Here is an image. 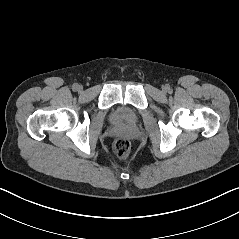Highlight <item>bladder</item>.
Listing matches in <instances>:
<instances>
[{
	"mask_svg": "<svg viewBox=\"0 0 239 239\" xmlns=\"http://www.w3.org/2000/svg\"><path fill=\"white\" fill-rule=\"evenodd\" d=\"M111 120L120 125L134 126L139 120V114L128 106H118L111 113Z\"/></svg>",
	"mask_w": 239,
	"mask_h": 239,
	"instance_id": "obj_1",
	"label": "bladder"
}]
</instances>
